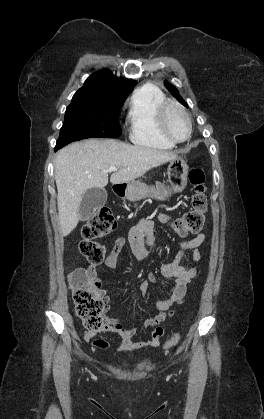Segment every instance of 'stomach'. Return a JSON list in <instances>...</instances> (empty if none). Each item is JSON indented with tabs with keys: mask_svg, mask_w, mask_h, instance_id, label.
Wrapping results in <instances>:
<instances>
[{
	"mask_svg": "<svg viewBox=\"0 0 264 419\" xmlns=\"http://www.w3.org/2000/svg\"><path fill=\"white\" fill-rule=\"evenodd\" d=\"M167 174L169 185L157 182L155 186H148L142 182L134 181L126 186L124 196L132 202L149 197L163 201L186 188L188 166L183 158L176 157L171 160Z\"/></svg>",
	"mask_w": 264,
	"mask_h": 419,
	"instance_id": "1",
	"label": "stomach"
}]
</instances>
